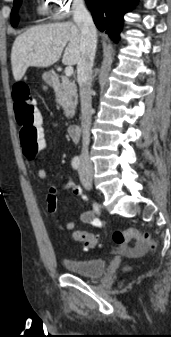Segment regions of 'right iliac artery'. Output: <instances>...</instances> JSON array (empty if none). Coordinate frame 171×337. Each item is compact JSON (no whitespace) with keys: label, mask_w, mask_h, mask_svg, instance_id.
<instances>
[{"label":"right iliac artery","mask_w":171,"mask_h":337,"mask_svg":"<svg viewBox=\"0 0 171 337\" xmlns=\"http://www.w3.org/2000/svg\"><path fill=\"white\" fill-rule=\"evenodd\" d=\"M72 167L74 168V169H79V167H80V164H81V162H80V158L79 157H74L73 159H72ZM94 209H95V211H97L98 212V204L97 203H94Z\"/></svg>","instance_id":"1"}]
</instances>
